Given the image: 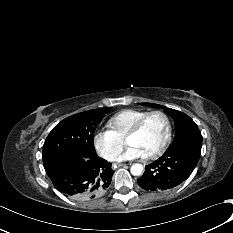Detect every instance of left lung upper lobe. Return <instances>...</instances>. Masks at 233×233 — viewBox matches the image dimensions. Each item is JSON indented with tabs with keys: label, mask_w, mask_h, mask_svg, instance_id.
<instances>
[{
	"label": "left lung upper lobe",
	"mask_w": 233,
	"mask_h": 233,
	"mask_svg": "<svg viewBox=\"0 0 233 233\" xmlns=\"http://www.w3.org/2000/svg\"><path fill=\"white\" fill-rule=\"evenodd\" d=\"M141 105H146L152 108H164L168 112L175 123V138L170 144L167 150H172L175 148H186L201 151L202 147V135L198 129L197 124L185 113L167 108L162 105L153 103H141Z\"/></svg>",
	"instance_id": "5c2ea615"
}]
</instances>
